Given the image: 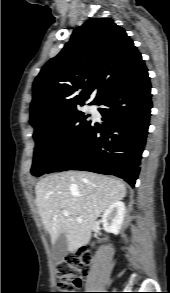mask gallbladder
<instances>
[{
    "mask_svg": "<svg viewBox=\"0 0 170 293\" xmlns=\"http://www.w3.org/2000/svg\"><path fill=\"white\" fill-rule=\"evenodd\" d=\"M67 238L64 233H61L56 241L52 244V256L55 262H62L67 255Z\"/></svg>",
    "mask_w": 170,
    "mask_h": 293,
    "instance_id": "1",
    "label": "gallbladder"
}]
</instances>
